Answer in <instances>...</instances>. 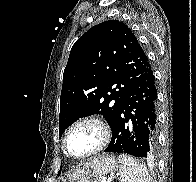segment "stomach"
I'll return each instance as SVG.
<instances>
[{
    "instance_id": "stomach-1",
    "label": "stomach",
    "mask_w": 196,
    "mask_h": 182,
    "mask_svg": "<svg viewBox=\"0 0 196 182\" xmlns=\"http://www.w3.org/2000/svg\"><path fill=\"white\" fill-rule=\"evenodd\" d=\"M117 162L111 155L102 154L83 163L73 173L67 175L62 182H93L114 172L117 169Z\"/></svg>"
}]
</instances>
